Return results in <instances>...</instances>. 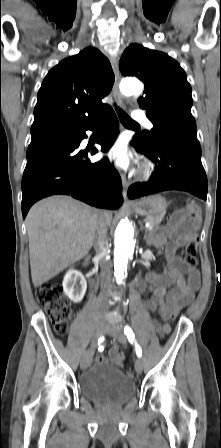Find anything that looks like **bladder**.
<instances>
[{
	"label": "bladder",
	"mask_w": 221,
	"mask_h": 448,
	"mask_svg": "<svg viewBox=\"0 0 221 448\" xmlns=\"http://www.w3.org/2000/svg\"><path fill=\"white\" fill-rule=\"evenodd\" d=\"M79 389L92 402L121 406L134 397L135 383L113 363L100 362L81 376Z\"/></svg>",
	"instance_id": "bladder-1"
}]
</instances>
